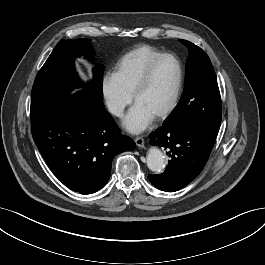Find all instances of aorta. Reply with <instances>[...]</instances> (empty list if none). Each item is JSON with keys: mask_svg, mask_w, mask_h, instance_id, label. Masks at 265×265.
Masks as SVG:
<instances>
[{"mask_svg": "<svg viewBox=\"0 0 265 265\" xmlns=\"http://www.w3.org/2000/svg\"><path fill=\"white\" fill-rule=\"evenodd\" d=\"M147 166L153 172H160L165 167V159L162 151L151 148L147 154Z\"/></svg>", "mask_w": 265, "mask_h": 265, "instance_id": "aorta-1", "label": "aorta"}]
</instances>
